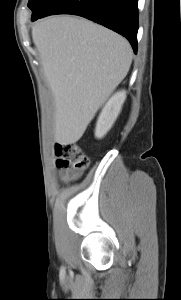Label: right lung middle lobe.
Instances as JSON below:
<instances>
[{"label": "right lung middle lobe", "instance_id": "1", "mask_svg": "<svg viewBox=\"0 0 181 300\" xmlns=\"http://www.w3.org/2000/svg\"><path fill=\"white\" fill-rule=\"evenodd\" d=\"M55 1L57 0H29L28 7L32 10V16H37Z\"/></svg>", "mask_w": 181, "mask_h": 300}]
</instances>
